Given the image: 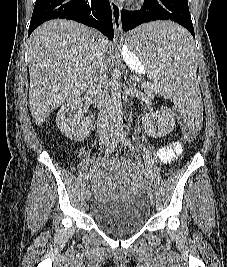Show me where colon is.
Returning a JSON list of instances; mask_svg holds the SVG:
<instances>
[{
  "mask_svg": "<svg viewBox=\"0 0 227 267\" xmlns=\"http://www.w3.org/2000/svg\"><path fill=\"white\" fill-rule=\"evenodd\" d=\"M171 112H174V109H171ZM174 120H178L177 124L182 131L180 139L189 140V143H192V140L196 139L195 131L190 129V125H188L184 120V115H180V113L174 112Z\"/></svg>",
  "mask_w": 227,
  "mask_h": 267,
  "instance_id": "colon-1",
  "label": "colon"
}]
</instances>
